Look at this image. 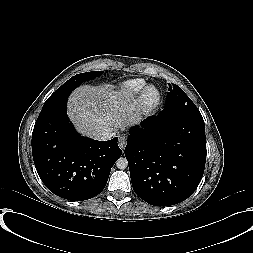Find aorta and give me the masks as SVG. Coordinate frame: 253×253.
Instances as JSON below:
<instances>
[{
  "instance_id": "1",
  "label": "aorta",
  "mask_w": 253,
  "mask_h": 253,
  "mask_svg": "<svg viewBox=\"0 0 253 253\" xmlns=\"http://www.w3.org/2000/svg\"><path fill=\"white\" fill-rule=\"evenodd\" d=\"M116 166L118 169H126L128 167V161L125 157H120L116 161Z\"/></svg>"
}]
</instances>
